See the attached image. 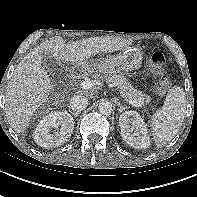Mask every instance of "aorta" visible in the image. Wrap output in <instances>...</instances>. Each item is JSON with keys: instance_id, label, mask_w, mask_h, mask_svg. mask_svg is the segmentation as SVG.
Wrapping results in <instances>:
<instances>
[{"instance_id": "762f6f07", "label": "aorta", "mask_w": 197, "mask_h": 197, "mask_svg": "<svg viewBox=\"0 0 197 197\" xmlns=\"http://www.w3.org/2000/svg\"><path fill=\"white\" fill-rule=\"evenodd\" d=\"M98 109L102 115L109 116L113 111V106L109 101H101L99 103Z\"/></svg>"}]
</instances>
